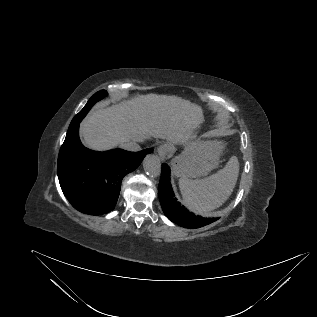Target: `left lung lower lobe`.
Masks as SVG:
<instances>
[{"label": "left lung lower lobe", "mask_w": 317, "mask_h": 317, "mask_svg": "<svg viewBox=\"0 0 317 317\" xmlns=\"http://www.w3.org/2000/svg\"><path fill=\"white\" fill-rule=\"evenodd\" d=\"M170 169L167 164H162V175L159 183V199L162 209L168 219L182 227L186 228H200L208 225L219 218H203L195 216L189 212L184 206L177 202L174 197L172 187L170 184Z\"/></svg>", "instance_id": "left-lung-lower-lobe-1"}]
</instances>
